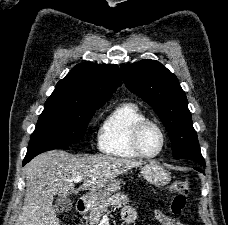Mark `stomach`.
Instances as JSON below:
<instances>
[{
    "label": "stomach",
    "mask_w": 228,
    "mask_h": 225,
    "mask_svg": "<svg viewBox=\"0 0 228 225\" xmlns=\"http://www.w3.org/2000/svg\"><path fill=\"white\" fill-rule=\"evenodd\" d=\"M142 177L147 179L151 185L154 187H164V185H168L169 181H171V175L168 171H165L164 167H160L157 163H150V165H145L143 169H140ZM122 183L115 179V181H111L109 185H105L103 189H98L96 193H87L85 197V201L87 205L90 207H94V205H99L100 201H104V199H108L110 195H114V193H118L119 189H121Z\"/></svg>",
    "instance_id": "1"
}]
</instances>
